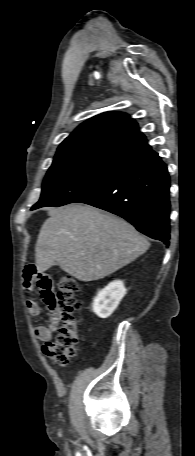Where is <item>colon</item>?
Returning <instances> with one entry per match:
<instances>
[{
	"label": "colon",
	"instance_id": "obj_1",
	"mask_svg": "<svg viewBox=\"0 0 195 456\" xmlns=\"http://www.w3.org/2000/svg\"><path fill=\"white\" fill-rule=\"evenodd\" d=\"M80 288L69 274H61L57 280L56 303L60 322L53 340L43 345L44 354L56 365L65 366L77 354L80 343Z\"/></svg>",
	"mask_w": 195,
	"mask_h": 456
}]
</instances>
